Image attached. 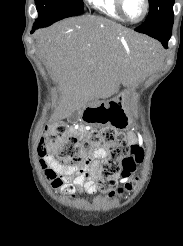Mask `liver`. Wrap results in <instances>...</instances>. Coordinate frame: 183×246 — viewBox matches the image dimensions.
<instances>
[{
	"label": "liver",
	"mask_w": 183,
	"mask_h": 246,
	"mask_svg": "<svg viewBox=\"0 0 183 246\" xmlns=\"http://www.w3.org/2000/svg\"><path fill=\"white\" fill-rule=\"evenodd\" d=\"M37 52L60 86L64 115L92 99L108 98L120 84L144 77L158 45L120 24L85 15L37 33Z\"/></svg>",
	"instance_id": "obj_1"
}]
</instances>
